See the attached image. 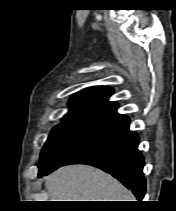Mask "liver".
<instances>
[{"label": "liver", "mask_w": 176, "mask_h": 211, "mask_svg": "<svg viewBox=\"0 0 176 211\" xmlns=\"http://www.w3.org/2000/svg\"><path fill=\"white\" fill-rule=\"evenodd\" d=\"M51 201H134L120 182L86 165L65 166L45 178Z\"/></svg>", "instance_id": "liver-1"}]
</instances>
